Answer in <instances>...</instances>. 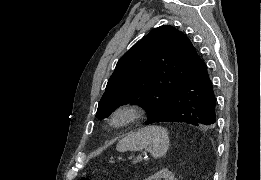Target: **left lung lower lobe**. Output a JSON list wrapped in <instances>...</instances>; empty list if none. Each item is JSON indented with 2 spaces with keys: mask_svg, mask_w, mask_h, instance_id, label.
Here are the masks:
<instances>
[{
  "mask_svg": "<svg viewBox=\"0 0 261 180\" xmlns=\"http://www.w3.org/2000/svg\"><path fill=\"white\" fill-rule=\"evenodd\" d=\"M216 106V97L207 66L199 57L179 82L165 112L153 123L184 122L200 127H214Z\"/></svg>",
  "mask_w": 261,
  "mask_h": 180,
  "instance_id": "left-lung-lower-lobe-1",
  "label": "left lung lower lobe"
}]
</instances>
